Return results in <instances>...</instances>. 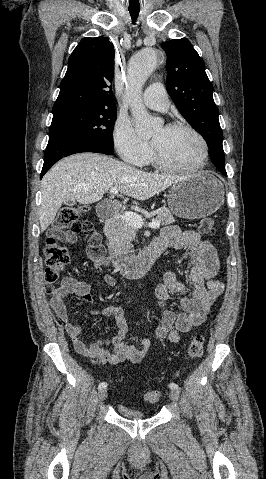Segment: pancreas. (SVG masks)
I'll return each mask as SVG.
<instances>
[{"label": "pancreas", "mask_w": 266, "mask_h": 479, "mask_svg": "<svg viewBox=\"0 0 266 479\" xmlns=\"http://www.w3.org/2000/svg\"><path fill=\"white\" fill-rule=\"evenodd\" d=\"M156 220L162 225H168L175 222V218L168 209H160L157 212ZM137 228L126 222L123 216L116 215L106 234L108 248L110 251L118 254H129L133 252L131 242L135 239Z\"/></svg>", "instance_id": "cf45deb5"}]
</instances>
